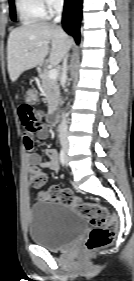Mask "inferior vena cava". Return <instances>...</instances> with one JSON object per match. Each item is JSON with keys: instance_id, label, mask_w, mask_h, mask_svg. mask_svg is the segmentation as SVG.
I'll use <instances>...</instances> for the list:
<instances>
[{"instance_id": "obj_1", "label": "inferior vena cava", "mask_w": 134, "mask_h": 281, "mask_svg": "<svg viewBox=\"0 0 134 281\" xmlns=\"http://www.w3.org/2000/svg\"><path fill=\"white\" fill-rule=\"evenodd\" d=\"M54 8L56 10V17L54 19V23H59L61 22V18H62V10H63V0H55L54 3ZM67 53V52H66ZM67 78V54H65L64 60H63V67H62V73H61V80L65 81ZM67 115L63 114L62 115V120H61V124L59 126V138H60V142L61 145L63 147H67Z\"/></svg>"}]
</instances>
